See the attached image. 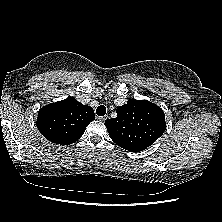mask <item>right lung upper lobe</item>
Wrapping results in <instances>:
<instances>
[{
    "label": "right lung upper lobe",
    "instance_id": "1",
    "mask_svg": "<svg viewBox=\"0 0 222 222\" xmlns=\"http://www.w3.org/2000/svg\"><path fill=\"white\" fill-rule=\"evenodd\" d=\"M95 119L90 106L82 105L74 97L58 101L40 109L37 127L50 142L69 145L76 142Z\"/></svg>",
    "mask_w": 222,
    "mask_h": 222
}]
</instances>
